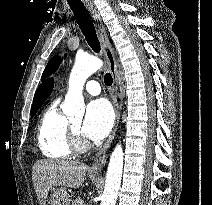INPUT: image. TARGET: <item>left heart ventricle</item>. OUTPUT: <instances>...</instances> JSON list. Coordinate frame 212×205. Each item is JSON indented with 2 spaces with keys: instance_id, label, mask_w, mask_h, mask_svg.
Returning <instances> with one entry per match:
<instances>
[{
  "instance_id": "b2bd125f",
  "label": "left heart ventricle",
  "mask_w": 212,
  "mask_h": 205,
  "mask_svg": "<svg viewBox=\"0 0 212 205\" xmlns=\"http://www.w3.org/2000/svg\"><path fill=\"white\" fill-rule=\"evenodd\" d=\"M73 126L79 130L80 129V124H81V121L80 120H75L72 122Z\"/></svg>"
}]
</instances>
